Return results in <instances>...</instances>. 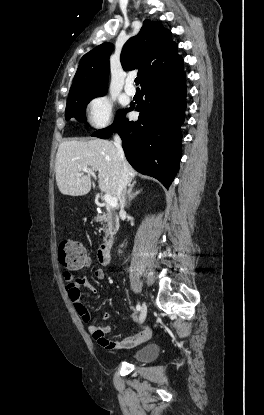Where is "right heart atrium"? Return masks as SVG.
I'll return each mask as SVG.
<instances>
[{"instance_id": "right-heart-atrium-1", "label": "right heart atrium", "mask_w": 264, "mask_h": 415, "mask_svg": "<svg viewBox=\"0 0 264 415\" xmlns=\"http://www.w3.org/2000/svg\"><path fill=\"white\" fill-rule=\"evenodd\" d=\"M89 123L95 128L108 126L113 118V101L109 96L99 95L87 105Z\"/></svg>"}]
</instances>
